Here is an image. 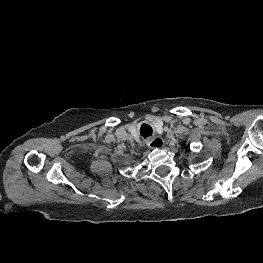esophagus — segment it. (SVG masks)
Segmentation results:
<instances>
[{"mask_svg": "<svg viewBox=\"0 0 263 263\" xmlns=\"http://www.w3.org/2000/svg\"><path fill=\"white\" fill-rule=\"evenodd\" d=\"M164 145V140L161 137L150 138L147 140L149 148H161Z\"/></svg>", "mask_w": 263, "mask_h": 263, "instance_id": "obj_1", "label": "esophagus"}]
</instances>
